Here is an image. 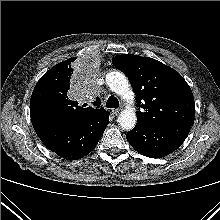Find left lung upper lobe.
<instances>
[{"instance_id":"1","label":"left lung upper lobe","mask_w":220,"mask_h":220,"mask_svg":"<svg viewBox=\"0 0 220 220\" xmlns=\"http://www.w3.org/2000/svg\"><path fill=\"white\" fill-rule=\"evenodd\" d=\"M112 62L131 82L139 109L137 121L156 126L193 125L194 97L177 71L155 59L134 54L118 55Z\"/></svg>"}]
</instances>
